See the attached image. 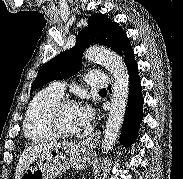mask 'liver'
Masks as SVG:
<instances>
[{
	"instance_id": "liver-1",
	"label": "liver",
	"mask_w": 183,
	"mask_h": 179,
	"mask_svg": "<svg viewBox=\"0 0 183 179\" xmlns=\"http://www.w3.org/2000/svg\"><path fill=\"white\" fill-rule=\"evenodd\" d=\"M62 143L59 142H49L43 144H37L26 148L18 162L15 172V179H20L24 171L36 160L45 156L46 152L56 146H60Z\"/></svg>"
}]
</instances>
